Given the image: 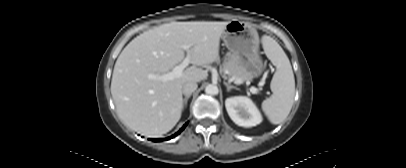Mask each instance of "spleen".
<instances>
[{
	"instance_id": "3e777b00",
	"label": "spleen",
	"mask_w": 406,
	"mask_h": 168,
	"mask_svg": "<svg viewBox=\"0 0 406 168\" xmlns=\"http://www.w3.org/2000/svg\"><path fill=\"white\" fill-rule=\"evenodd\" d=\"M264 52L276 67L270 83L273 94L262 102V110L272 124L282 123L289 115L295 96V78L290 61L271 37L262 38Z\"/></svg>"
}]
</instances>
